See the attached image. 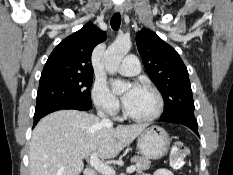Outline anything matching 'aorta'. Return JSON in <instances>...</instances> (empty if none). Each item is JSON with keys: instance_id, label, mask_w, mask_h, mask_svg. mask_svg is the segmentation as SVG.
<instances>
[{"instance_id": "obj_1", "label": "aorta", "mask_w": 233, "mask_h": 175, "mask_svg": "<svg viewBox=\"0 0 233 175\" xmlns=\"http://www.w3.org/2000/svg\"><path fill=\"white\" fill-rule=\"evenodd\" d=\"M131 41L116 40L104 53L105 68L110 74H115L124 56L131 49Z\"/></svg>"}]
</instances>
